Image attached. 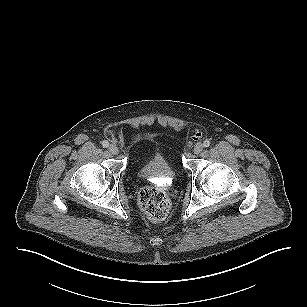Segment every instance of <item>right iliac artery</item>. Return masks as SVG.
<instances>
[{"mask_svg": "<svg viewBox=\"0 0 307 307\" xmlns=\"http://www.w3.org/2000/svg\"><path fill=\"white\" fill-rule=\"evenodd\" d=\"M102 146H103L104 148H107V147L109 146V142L106 141V140H104V141L102 142Z\"/></svg>", "mask_w": 307, "mask_h": 307, "instance_id": "right-iliac-artery-1", "label": "right iliac artery"}]
</instances>
